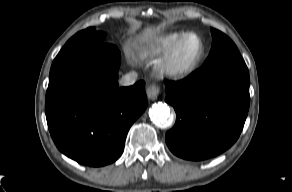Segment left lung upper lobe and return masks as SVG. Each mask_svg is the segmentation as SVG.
Listing matches in <instances>:
<instances>
[{
    "mask_svg": "<svg viewBox=\"0 0 292 192\" xmlns=\"http://www.w3.org/2000/svg\"><path fill=\"white\" fill-rule=\"evenodd\" d=\"M212 49L203 66H209L222 61H243L236 45L222 32L212 29Z\"/></svg>",
    "mask_w": 292,
    "mask_h": 192,
    "instance_id": "5c2ea615",
    "label": "left lung upper lobe"
}]
</instances>
